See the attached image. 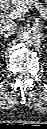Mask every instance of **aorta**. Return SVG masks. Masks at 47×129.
Listing matches in <instances>:
<instances>
[{"mask_svg": "<svg viewBox=\"0 0 47 129\" xmlns=\"http://www.w3.org/2000/svg\"><path fill=\"white\" fill-rule=\"evenodd\" d=\"M22 39L28 46H38L43 41V34L39 28L29 27L23 31Z\"/></svg>", "mask_w": 47, "mask_h": 129, "instance_id": "aorta-1", "label": "aorta"}]
</instances>
